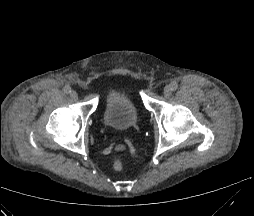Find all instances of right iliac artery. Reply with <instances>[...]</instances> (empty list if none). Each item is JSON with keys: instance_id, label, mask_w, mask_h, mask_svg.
<instances>
[{"instance_id": "right-iliac-artery-1", "label": "right iliac artery", "mask_w": 254, "mask_h": 216, "mask_svg": "<svg viewBox=\"0 0 254 216\" xmlns=\"http://www.w3.org/2000/svg\"><path fill=\"white\" fill-rule=\"evenodd\" d=\"M64 92L67 93V94L70 93L71 88L69 86L64 87Z\"/></svg>"}]
</instances>
